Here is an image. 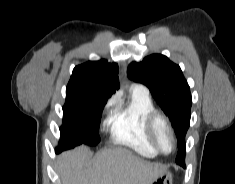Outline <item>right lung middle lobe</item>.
I'll list each match as a JSON object with an SVG mask.
<instances>
[{
  "mask_svg": "<svg viewBox=\"0 0 235 184\" xmlns=\"http://www.w3.org/2000/svg\"><path fill=\"white\" fill-rule=\"evenodd\" d=\"M86 92H66L61 139L56 152L80 144L95 146L100 142L99 118L104 105H90Z\"/></svg>",
  "mask_w": 235,
  "mask_h": 184,
  "instance_id": "1",
  "label": "right lung middle lobe"
}]
</instances>
